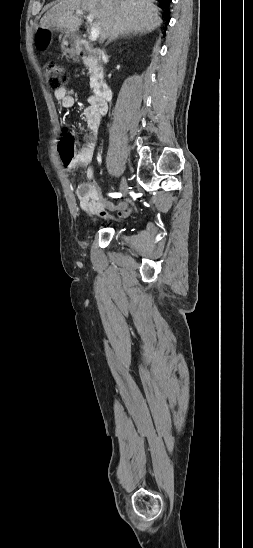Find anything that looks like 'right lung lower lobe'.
Returning a JSON list of instances; mask_svg holds the SVG:
<instances>
[{
	"label": "right lung lower lobe",
	"mask_w": 253,
	"mask_h": 548,
	"mask_svg": "<svg viewBox=\"0 0 253 548\" xmlns=\"http://www.w3.org/2000/svg\"><path fill=\"white\" fill-rule=\"evenodd\" d=\"M158 1H159L164 7H166V9L169 8V4H170L171 0H158ZM169 19H170V17L167 16L166 21L169 22Z\"/></svg>",
	"instance_id": "1"
}]
</instances>
